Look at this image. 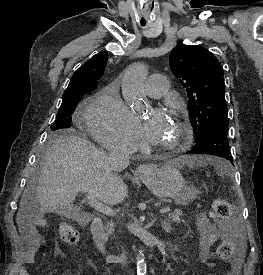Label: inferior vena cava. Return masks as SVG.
<instances>
[{"mask_svg":"<svg viewBox=\"0 0 263 275\" xmlns=\"http://www.w3.org/2000/svg\"><path fill=\"white\" fill-rule=\"evenodd\" d=\"M109 158L114 168L120 171L129 165L130 152L124 148H114L110 151Z\"/></svg>","mask_w":263,"mask_h":275,"instance_id":"obj_1","label":"inferior vena cava"}]
</instances>
